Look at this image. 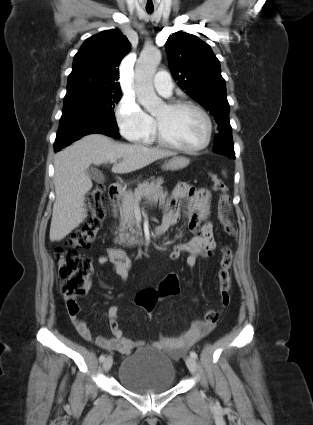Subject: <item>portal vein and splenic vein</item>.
I'll list each match as a JSON object with an SVG mask.
<instances>
[{"label":"portal vein and splenic vein","mask_w":313,"mask_h":425,"mask_svg":"<svg viewBox=\"0 0 313 425\" xmlns=\"http://www.w3.org/2000/svg\"><path fill=\"white\" fill-rule=\"evenodd\" d=\"M110 163H116V160H110Z\"/></svg>","instance_id":"obj_1"}]
</instances>
